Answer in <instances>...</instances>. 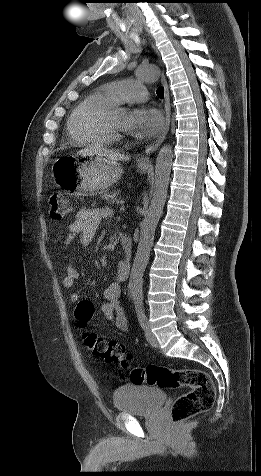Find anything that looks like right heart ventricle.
<instances>
[{
    "label": "right heart ventricle",
    "mask_w": 261,
    "mask_h": 476,
    "mask_svg": "<svg viewBox=\"0 0 261 476\" xmlns=\"http://www.w3.org/2000/svg\"><path fill=\"white\" fill-rule=\"evenodd\" d=\"M118 104L104 89L86 96L70 113L67 131L76 145L109 144L113 135L103 125L105 115Z\"/></svg>",
    "instance_id": "1"
}]
</instances>
